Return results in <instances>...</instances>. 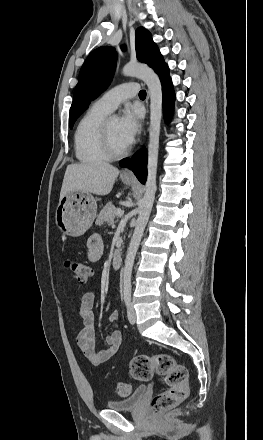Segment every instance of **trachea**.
<instances>
[{
  "label": "trachea",
  "instance_id": "trachea-1",
  "mask_svg": "<svg viewBox=\"0 0 263 440\" xmlns=\"http://www.w3.org/2000/svg\"><path fill=\"white\" fill-rule=\"evenodd\" d=\"M139 97H146V91L145 90H141L139 92Z\"/></svg>",
  "mask_w": 263,
  "mask_h": 440
}]
</instances>
